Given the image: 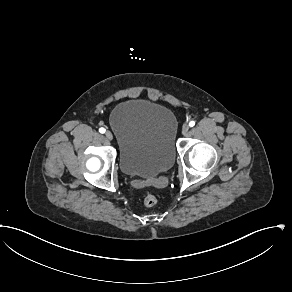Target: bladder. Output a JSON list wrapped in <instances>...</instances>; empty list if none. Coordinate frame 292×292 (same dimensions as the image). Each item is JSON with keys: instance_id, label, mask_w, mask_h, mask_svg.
Returning a JSON list of instances; mask_svg holds the SVG:
<instances>
[{"instance_id": "obj_1", "label": "bladder", "mask_w": 292, "mask_h": 292, "mask_svg": "<svg viewBox=\"0 0 292 292\" xmlns=\"http://www.w3.org/2000/svg\"><path fill=\"white\" fill-rule=\"evenodd\" d=\"M109 124L123 173L152 177L173 165L178 123L168 107L141 98L127 99L112 110Z\"/></svg>"}]
</instances>
